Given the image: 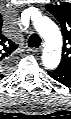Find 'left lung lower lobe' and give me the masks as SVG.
Here are the masks:
<instances>
[{
  "label": "left lung lower lobe",
  "instance_id": "1",
  "mask_svg": "<svg viewBox=\"0 0 71 119\" xmlns=\"http://www.w3.org/2000/svg\"><path fill=\"white\" fill-rule=\"evenodd\" d=\"M48 73L56 81L66 86L71 85V70L58 67L53 71H49Z\"/></svg>",
  "mask_w": 71,
  "mask_h": 119
}]
</instances>
